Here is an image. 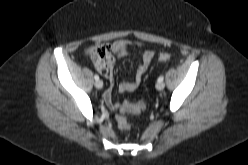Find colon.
Segmentation results:
<instances>
[{
	"instance_id": "5ec220e1",
	"label": "colon",
	"mask_w": 248,
	"mask_h": 165,
	"mask_svg": "<svg viewBox=\"0 0 248 165\" xmlns=\"http://www.w3.org/2000/svg\"><path fill=\"white\" fill-rule=\"evenodd\" d=\"M87 55L93 61L95 68L100 72H106L112 67L113 55L112 48L108 43H98L88 48ZM159 61L165 62L170 59L169 53H161L158 57ZM112 106L117 109L116 115L117 125L121 130L127 131L130 129V123L127 120L126 113H140L147 107L146 103L141 101L136 104L123 102L122 104L112 103Z\"/></svg>"
}]
</instances>
